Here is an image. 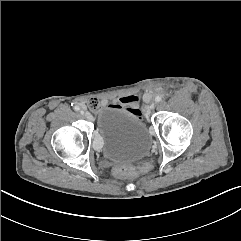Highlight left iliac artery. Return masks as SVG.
<instances>
[{
  "label": "left iliac artery",
  "instance_id": "obj_1",
  "mask_svg": "<svg viewBox=\"0 0 241 241\" xmlns=\"http://www.w3.org/2000/svg\"><path fill=\"white\" fill-rule=\"evenodd\" d=\"M161 100H162L161 96H156V97H155V101H156V102H160Z\"/></svg>",
  "mask_w": 241,
  "mask_h": 241
}]
</instances>
